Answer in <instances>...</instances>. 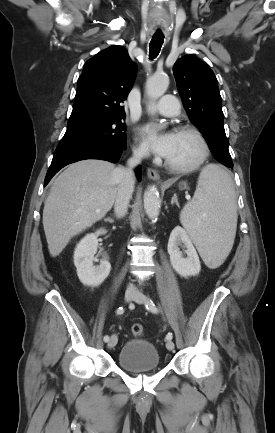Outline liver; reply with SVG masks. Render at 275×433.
<instances>
[{"label":"liver","instance_id":"6515ba94","mask_svg":"<svg viewBox=\"0 0 275 433\" xmlns=\"http://www.w3.org/2000/svg\"><path fill=\"white\" fill-rule=\"evenodd\" d=\"M114 164L96 159L71 164L53 182L43 210V227L52 257L72 237L111 210L121 185Z\"/></svg>","mask_w":275,"mask_h":433}]
</instances>
